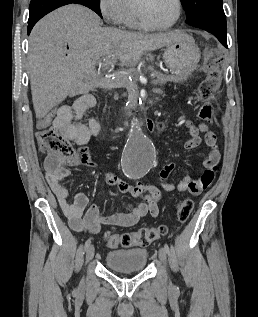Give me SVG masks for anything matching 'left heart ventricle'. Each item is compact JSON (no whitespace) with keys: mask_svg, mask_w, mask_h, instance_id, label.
<instances>
[{"mask_svg":"<svg viewBox=\"0 0 258 317\" xmlns=\"http://www.w3.org/2000/svg\"><path fill=\"white\" fill-rule=\"evenodd\" d=\"M177 6L173 0H154L144 11L147 25L156 27L170 24L176 17Z\"/></svg>","mask_w":258,"mask_h":317,"instance_id":"b2bd125f","label":"left heart ventricle"}]
</instances>
